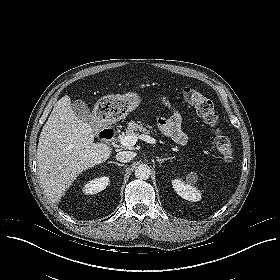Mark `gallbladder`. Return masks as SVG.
<instances>
[{"label":"gallbladder","mask_w":280,"mask_h":280,"mask_svg":"<svg viewBox=\"0 0 280 280\" xmlns=\"http://www.w3.org/2000/svg\"><path fill=\"white\" fill-rule=\"evenodd\" d=\"M72 109L74 113L86 123H93V115L91 113V109L86 104L85 101L78 99L72 103ZM93 125V124H92ZM94 133L97 135L99 132V127L93 125Z\"/></svg>","instance_id":"gallbladder-1"}]
</instances>
